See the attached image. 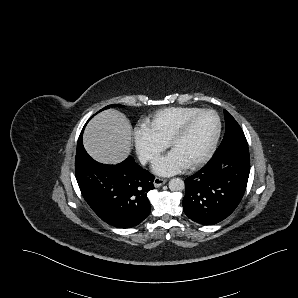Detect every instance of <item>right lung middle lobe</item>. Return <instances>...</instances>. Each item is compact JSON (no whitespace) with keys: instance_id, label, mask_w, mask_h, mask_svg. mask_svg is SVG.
Segmentation results:
<instances>
[{"instance_id":"dd1d6c3e","label":"right lung middle lobe","mask_w":298,"mask_h":298,"mask_svg":"<svg viewBox=\"0 0 298 298\" xmlns=\"http://www.w3.org/2000/svg\"><path fill=\"white\" fill-rule=\"evenodd\" d=\"M114 106H121V105H116V104H112V105H109V106H106V107H104L102 110H105V109H108V108H110V107H114ZM102 110H100V111H102ZM99 111V112H100Z\"/></svg>"}]
</instances>
